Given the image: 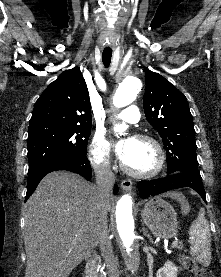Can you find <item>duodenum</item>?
I'll use <instances>...</instances> for the list:
<instances>
[{"label":"duodenum","instance_id":"410a0bca","mask_svg":"<svg viewBox=\"0 0 221 277\" xmlns=\"http://www.w3.org/2000/svg\"><path fill=\"white\" fill-rule=\"evenodd\" d=\"M99 265H100L99 256L91 257L85 266L83 277H97V271H98Z\"/></svg>","mask_w":221,"mask_h":277}]
</instances>
